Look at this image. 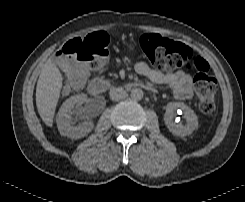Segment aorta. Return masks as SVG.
Instances as JSON below:
<instances>
[{
    "label": "aorta",
    "instance_id": "aorta-1",
    "mask_svg": "<svg viewBox=\"0 0 245 202\" xmlns=\"http://www.w3.org/2000/svg\"><path fill=\"white\" fill-rule=\"evenodd\" d=\"M130 96L133 100L139 101L143 98V91L140 88H134L131 90Z\"/></svg>",
    "mask_w": 245,
    "mask_h": 202
}]
</instances>
